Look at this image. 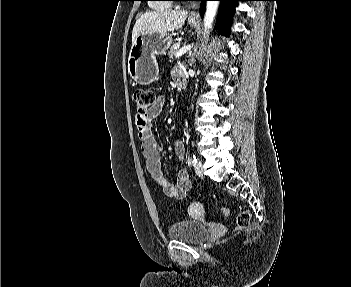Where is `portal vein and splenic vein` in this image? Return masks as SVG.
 I'll return each instance as SVG.
<instances>
[{
  "label": "portal vein and splenic vein",
  "instance_id": "obj_1",
  "mask_svg": "<svg viewBox=\"0 0 351 287\" xmlns=\"http://www.w3.org/2000/svg\"><path fill=\"white\" fill-rule=\"evenodd\" d=\"M190 49H191V45L184 46L182 49H180V50L176 53L175 57H176V58L181 57L183 54H185V53H186L188 50H190Z\"/></svg>",
  "mask_w": 351,
  "mask_h": 287
}]
</instances>
